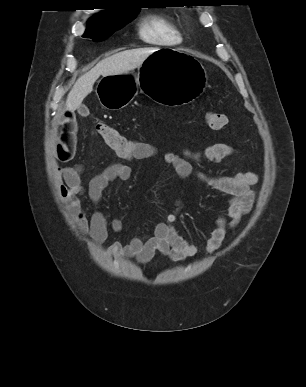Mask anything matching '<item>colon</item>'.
<instances>
[{
	"label": "colon",
	"instance_id": "colon-1",
	"mask_svg": "<svg viewBox=\"0 0 306 387\" xmlns=\"http://www.w3.org/2000/svg\"><path fill=\"white\" fill-rule=\"evenodd\" d=\"M205 121L209 128L218 130L227 124L228 119L224 114L208 112L205 115ZM96 131L104 142L120 157L127 158L133 153L137 141L127 138L110 124L99 122L96 125Z\"/></svg>",
	"mask_w": 306,
	"mask_h": 387
}]
</instances>
